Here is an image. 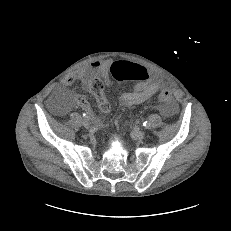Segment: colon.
<instances>
[{
	"label": "colon",
	"mask_w": 231,
	"mask_h": 231,
	"mask_svg": "<svg viewBox=\"0 0 231 231\" xmlns=\"http://www.w3.org/2000/svg\"><path fill=\"white\" fill-rule=\"evenodd\" d=\"M110 75L116 81L125 80H143L147 78L146 69L134 62L130 61H117L110 67ZM91 92L97 96L98 105L103 112H107L110 108L109 102L104 95V82L96 78L92 81L90 86ZM171 99V93L168 90H164L159 94V100L161 102H168Z\"/></svg>",
	"instance_id": "5ec220e1"
}]
</instances>
